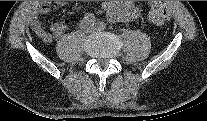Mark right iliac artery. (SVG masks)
Masks as SVG:
<instances>
[{"instance_id": "obj_1", "label": "right iliac artery", "mask_w": 207, "mask_h": 121, "mask_svg": "<svg viewBox=\"0 0 207 121\" xmlns=\"http://www.w3.org/2000/svg\"><path fill=\"white\" fill-rule=\"evenodd\" d=\"M84 19H85L87 22H89V23H92V24L96 23V18H95V16H94L93 14H91V13L86 14L85 17H84Z\"/></svg>"}]
</instances>
